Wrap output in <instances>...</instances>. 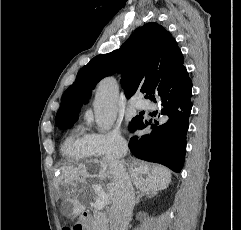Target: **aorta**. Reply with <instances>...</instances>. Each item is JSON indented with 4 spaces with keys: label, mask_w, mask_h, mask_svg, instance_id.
I'll use <instances>...</instances> for the list:
<instances>
[{
    "label": "aorta",
    "mask_w": 241,
    "mask_h": 230,
    "mask_svg": "<svg viewBox=\"0 0 241 230\" xmlns=\"http://www.w3.org/2000/svg\"><path fill=\"white\" fill-rule=\"evenodd\" d=\"M118 85L113 77L104 78L98 85L93 103L96 124L109 130L117 118Z\"/></svg>",
    "instance_id": "aorta-1"
}]
</instances>
